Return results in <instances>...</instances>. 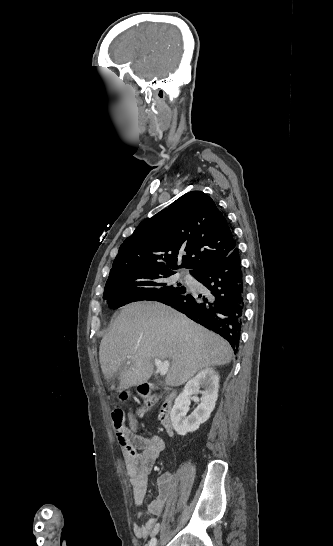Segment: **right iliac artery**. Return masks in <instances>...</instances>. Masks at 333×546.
Instances as JSON below:
<instances>
[{
	"mask_svg": "<svg viewBox=\"0 0 333 546\" xmlns=\"http://www.w3.org/2000/svg\"><path fill=\"white\" fill-rule=\"evenodd\" d=\"M156 544H157V539H156L155 537H153V538L149 541V543H148L147 546H156Z\"/></svg>",
	"mask_w": 333,
	"mask_h": 546,
	"instance_id": "1",
	"label": "right iliac artery"
}]
</instances>
